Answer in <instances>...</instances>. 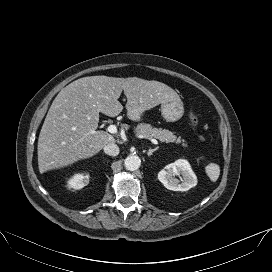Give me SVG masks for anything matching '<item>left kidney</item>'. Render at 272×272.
Returning a JSON list of instances; mask_svg holds the SVG:
<instances>
[{
	"mask_svg": "<svg viewBox=\"0 0 272 272\" xmlns=\"http://www.w3.org/2000/svg\"><path fill=\"white\" fill-rule=\"evenodd\" d=\"M181 175V181L175 178ZM158 179L169 190L187 191L197 185V177L185 159H178L158 173Z\"/></svg>",
	"mask_w": 272,
	"mask_h": 272,
	"instance_id": "5707ae66",
	"label": "left kidney"
}]
</instances>
